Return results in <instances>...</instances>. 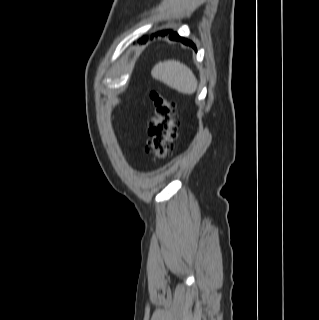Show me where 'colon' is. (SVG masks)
<instances>
[{"mask_svg": "<svg viewBox=\"0 0 319 320\" xmlns=\"http://www.w3.org/2000/svg\"><path fill=\"white\" fill-rule=\"evenodd\" d=\"M153 117L148 127L150 141L146 151L155 159H166L174 149L180 123L170 101L161 93L152 91Z\"/></svg>", "mask_w": 319, "mask_h": 320, "instance_id": "1", "label": "colon"}]
</instances>
